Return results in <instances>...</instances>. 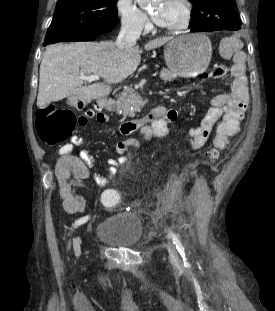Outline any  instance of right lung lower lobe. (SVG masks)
Instances as JSON below:
<instances>
[{"instance_id":"obj_1","label":"right lung lower lobe","mask_w":275,"mask_h":311,"mask_svg":"<svg viewBox=\"0 0 275 311\" xmlns=\"http://www.w3.org/2000/svg\"><path fill=\"white\" fill-rule=\"evenodd\" d=\"M99 35L100 34H97V33H83V34H79V35H76L74 37L68 38L65 41L66 42H70V41H90V40H95L96 37H98ZM54 43H56V42H54ZM48 44H52V43H44V46L48 45Z\"/></svg>"}]
</instances>
